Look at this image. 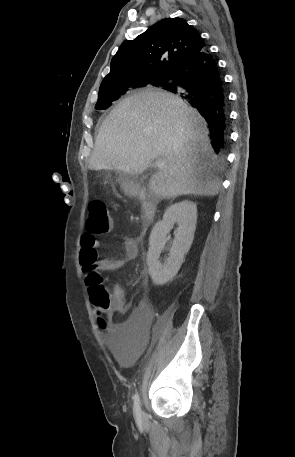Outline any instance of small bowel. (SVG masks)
<instances>
[{
    "mask_svg": "<svg viewBox=\"0 0 295 457\" xmlns=\"http://www.w3.org/2000/svg\"><path fill=\"white\" fill-rule=\"evenodd\" d=\"M99 240L94 233L84 232L80 240V262L95 265L102 271H113L122 268L127 262L134 259L138 253L139 241L136 238L122 237L119 244L125 250L124 258H99ZM112 310L116 314H126L127 304L123 288L116 284L113 286L111 297ZM154 311L147 302H142L137 311L128 315L123 322L109 324L103 332L106 338H139L138 334L145 333L151 325ZM113 348V347H112Z\"/></svg>",
    "mask_w": 295,
    "mask_h": 457,
    "instance_id": "c3829d8e",
    "label": "small bowel"
}]
</instances>
